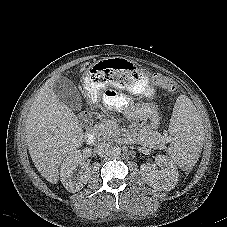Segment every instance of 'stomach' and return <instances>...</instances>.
<instances>
[{
	"mask_svg": "<svg viewBox=\"0 0 227 227\" xmlns=\"http://www.w3.org/2000/svg\"><path fill=\"white\" fill-rule=\"evenodd\" d=\"M120 86L128 94L148 96L145 71L126 56H103L94 61L86 72L84 87L91 100H95L103 87Z\"/></svg>",
	"mask_w": 227,
	"mask_h": 227,
	"instance_id": "1",
	"label": "stomach"
}]
</instances>
